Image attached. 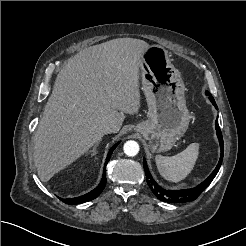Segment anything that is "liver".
Wrapping results in <instances>:
<instances>
[{
    "mask_svg": "<svg viewBox=\"0 0 246 246\" xmlns=\"http://www.w3.org/2000/svg\"><path fill=\"white\" fill-rule=\"evenodd\" d=\"M150 45L117 38L77 53L61 69L33 137L34 163L43 182L79 158L111 123L118 132L140 108L139 69Z\"/></svg>",
    "mask_w": 246,
    "mask_h": 246,
    "instance_id": "6515ba94",
    "label": "liver"
}]
</instances>
